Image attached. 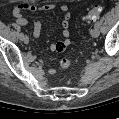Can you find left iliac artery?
<instances>
[{
	"mask_svg": "<svg viewBox=\"0 0 119 119\" xmlns=\"http://www.w3.org/2000/svg\"><path fill=\"white\" fill-rule=\"evenodd\" d=\"M95 26H96V27H99V26H100V22L97 21V22L95 23Z\"/></svg>",
	"mask_w": 119,
	"mask_h": 119,
	"instance_id": "44dca946",
	"label": "left iliac artery"
}]
</instances>
